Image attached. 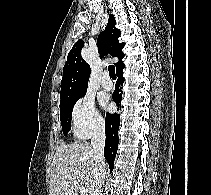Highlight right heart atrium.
<instances>
[{"mask_svg": "<svg viewBox=\"0 0 211 195\" xmlns=\"http://www.w3.org/2000/svg\"><path fill=\"white\" fill-rule=\"evenodd\" d=\"M71 120L74 134L83 139L101 132L104 127V120L96 109L94 100L88 96L76 101Z\"/></svg>", "mask_w": 211, "mask_h": 195, "instance_id": "right-heart-atrium-1", "label": "right heart atrium"}]
</instances>
